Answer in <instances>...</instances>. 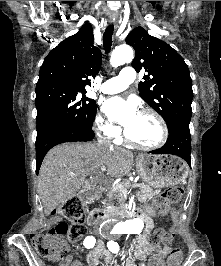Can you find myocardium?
Masks as SVG:
<instances>
[{
	"instance_id": "myocardium-1",
	"label": "myocardium",
	"mask_w": 221,
	"mask_h": 266,
	"mask_svg": "<svg viewBox=\"0 0 221 266\" xmlns=\"http://www.w3.org/2000/svg\"><path fill=\"white\" fill-rule=\"evenodd\" d=\"M142 114H147V115H150L152 116L156 122L158 123L159 125V128H160V137L159 139L152 143V144H142V143H139L135 140H133L129 134L127 133L126 129L124 130L123 134H124V140L131 146L137 148V149H141V150H153V149H156V148H159L161 147L167 140V137H168V127H167V124L165 122V120L163 119V117L158 113L156 112L155 110L151 109V108H144L141 110Z\"/></svg>"
}]
</instances>
